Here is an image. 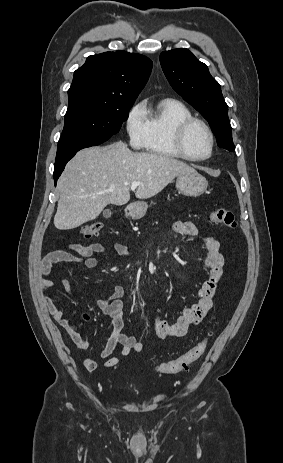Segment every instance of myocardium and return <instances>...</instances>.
Returning <instances> with one entry per match:
<instances>
[{
  "instance_id": "obj_1",
  "label": "myocardium",
  "mask_w": 283,
  "mask_h": 463,
  "mask_svg": "<svg viewBox=\"0 0 283 463\" xmlns=\"http://www.w3.org/2000/svg\"><path fill=\"white\" fill-rule=\"evenodd\" d=\"M194 125H201L206 130L210 138L211 149H210L209 154L204 157H196V156L191 155L187 151L186 146H185L186 135L188 131L190 130V128L193 127ZM215 144H216V140H215V135H214L212 128L206 121L200 118H196V117L189 118L183 121L176 129L175 136H174V145L178 153L181 155V157L186 160H189L192 162H202V161H206L210 159L215 152Z\"/></svg>"
}]
</instances>
